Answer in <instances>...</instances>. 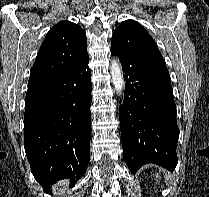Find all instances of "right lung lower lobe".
<instances>
[{"label":"right lung lower lobe","instance_id":"1","mask_svg":"<svg viewBox=\"0 0 209 197\" xmlns=\"http://www.w3.org/2000/svg\"><path fill=\"white\" fill-rule=\"evenodd\" d=\"M85 56L65 72L28 86L24 147L35 179L50 184L69 178L73 186L90 157L91 81Z\"/></svg>","mask_w":209,"mask_h":197}]
</instances>
